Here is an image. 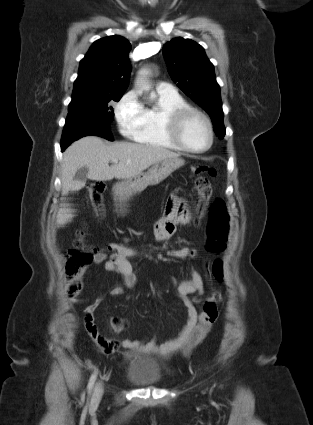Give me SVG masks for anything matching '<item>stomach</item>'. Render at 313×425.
<instances>
[{"label":"stomach","instance_id":"stomach-1","mask_svg":"<svg viewBox=\"0 0 313 425\" xmlns=\"http://www.w3.org/2000/svg\"><path fill=\"white\" fill-rule=\"evenodd\" d=\"M181 158H168L154 164L146 173L125 179L115 184L114 191L118 199L127 200L148 186H154L165 180L172 172L183 166Z\"/></svg>","mask_w":313,"mask_h":425}]
</instances>
